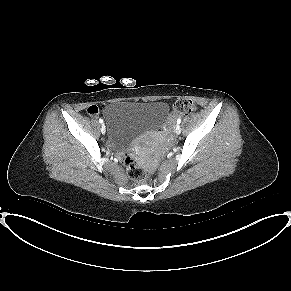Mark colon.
Returning a JSON list of instances; mask_svg holds the SVG:
<instances>
[{"mask_svg": "<svg viewBox=\"0 0 291 291\" xmlns=\"http://www.w3.org/2000/svg\"><path fill=\"white\" fill-rule=\"evenodd\" d=\"M196 110V105L189 99L177 100L173 105V111L175 114L188 115L194 113ZM87 111L90 114H95L97 113V108L95 106H91ZM122 158L127 168L128 176L136 182L142 181L144 179V172L136 166L133 157L130 154L125 153Z\"/></svg>", "mask_w": 291, "mask_h": 291, "instance_id": "1", "label": "colon"}]
</instances>
